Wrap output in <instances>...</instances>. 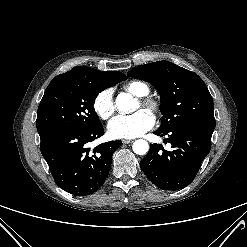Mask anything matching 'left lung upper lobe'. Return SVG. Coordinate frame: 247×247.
<instances>
[{"label":"left lung upper lobe","mask_w":247,"mask_h":247,"mask_svg":"<svg viewBox=\"0 0 247 247\" xmlns=\"http://www.w3.org/2000/svg\"><path fill=\"white\" fill-rule=\"evenodd\" d=\"M128 76L151 83L159 92L163 117L158 130L169 131L190 125L213 132V100L197 74L174 63L158 61L135 67Z\"/></svg>","instance_id":"5c2ea615"}]
</instances>
